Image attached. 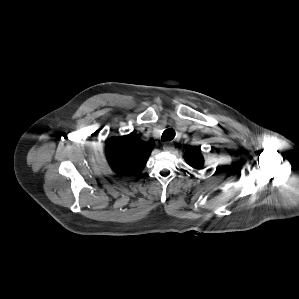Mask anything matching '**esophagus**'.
I'll return each instance as SVG.
<instances>
[{
	"instance_id": "esophagus-1",
	"label": "esophagus",
	"mask_w": 299,
	"mask_h": 299,
	"mask_svg": "<svg viewBox=\"0 0 299 299\" xmlns=\"http://www.w3.org/2000/svg\"><path fill=\"white\" fill-rule=\"evenodd\" d=\"M174 149L173 145L170 142H167L163 146V150L167 152H172Z\"/></svg>"
}]
</instances>
